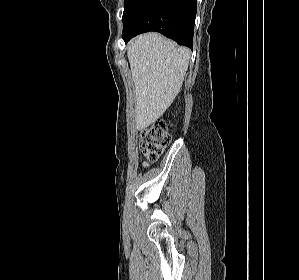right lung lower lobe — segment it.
Wrapping results in <instances>:
<instances>
[{
	"label": "right lung lower lobe",
	"instance_id": "obj_1",
	"mask_svg": "<svg viewBox=\"0 0 299 280\" xmlns=\"http://www.w3.org/2000/svg\"><path fill=\"white\" fill-rule=\"evenodd\" d=\"M196 0H125L122 38L157 31L179 45L193 46Z\"/></svg>",
	"mask_w": 299,
	"mask_h": 280
}]
</instances>
